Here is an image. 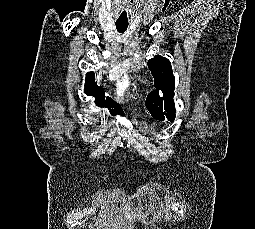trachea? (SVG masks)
I'll list each match as a JSON object with an SVG mask.
<instances>
[{
    "mask_svg": "<svg viewBox=\"0 0 255 229\" xmlns=\"http://www.w3.org/2000/svg\"><path fill=\"white\" fill-rule=\"evenodd\" d=\"M128 27V23H117L116 22V29L119 33H124Z\"/></svg>",
    "mask_w": 255,
    "mask_h": 229,
    "instance_id": "obj_1",
    "label": "trachea"
}]
</instances>
